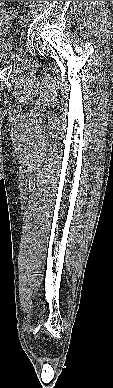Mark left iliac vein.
<instances>
[{
    "instance_id": "1",
    "label": "left iliac vein",
    "mask_w": 113,
    "mask_h": 388,
    "mask_svg": "<svg viewBox=\"0 0 113 388\" xmlns=\"http://www.w3.org/2000/svg\"><path fill=\"white\" fill-rule=\"evenodd\" d=\"M29 19L26 15L20 16L19 23L21 26H25L28 23Z\"/></svg>"
}]
</instances>
